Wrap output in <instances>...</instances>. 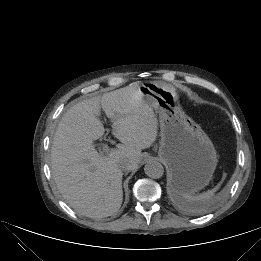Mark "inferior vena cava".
Here are the masks:
<instances>
[{
	"label": "inferior vena cava",
	"instance_id": "1",
	"mask_svg": "<svg viewBox=\"0 0 261 261\" xmlns=\"http://www.w3.org/2000/svg\"><path fill=\"white\" fill-rule=\"evenodd\" d=\"M121 169L124 170V171H129L131 170V165L128 163V162H123L121 163L120 165Z\"/></svg>",
	"mask_w": 261,
	"mask_h": 261
}]
</instances>
